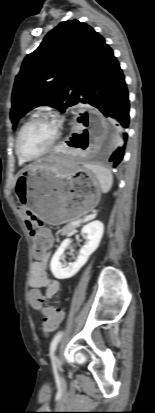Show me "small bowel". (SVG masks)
<instances>
[{
	"instance_id": "small-bowel-1",
	"label": "small bowel",
	"mask_w": 155,
	"mask_h": 413,
	"mask_svg": "<svg viewBox=\"0 0 155 413\" xmlns=\"http://www.w3.org/2000/svg\"><path fill=\"white\" fill-rule=\"evenodd\" d=\"M17 212L21 216L22 226L26 227L27 231H40V234L47 238V248L51 247L53 244V237L50 232L45 229V223L37 222V219L33 216L32 210L29 209L27 205H19L17 207ZM46 268L47 259H44L41 262H34L31 265L28 281L29 286L31 287L29 297L31 293H36L42 297L41 290L45 289L46 297L51 299L58 292L60 284L58 280L48 277ZM32 307L36 310H41L39 307Z\"/></svg>"
}]
</instances>
